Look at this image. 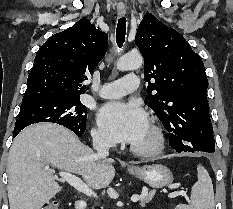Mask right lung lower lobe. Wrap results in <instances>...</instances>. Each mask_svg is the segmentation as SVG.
Listing matches in <instances>:
<instances>
[{
    "instance_id": "1",
    "label": "right lung lower lobe",
    "mask_w": 233,
    "mask_h": 209,
    "mask_svg": "<svg viewBox=\"0 0 233 209\" xmlns=\"http://www.w3.org/2000/svg\"><path fill=\"white\" fill-rule=\"evenodd\" d=\"M21 130H22L21 128L15 129L13 133V137L15 138ZM73 132L77 134L79 137H81L84 134V131H73Z\"/></svg>"
}]
</instances>
